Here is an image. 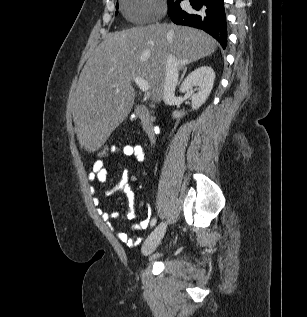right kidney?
<instances>
[{
	"mask_svg": "<svg viewBox=\"0 0 307 317\" xmlns=\"http://www.w3.org/2000/svg\"><path fill=\"white\" fill-rule=\"evenodd\" d=\"M215 80L214 70L210 66H201L192 71L184 80L180 87L181 93H192L194 87H198V92L192 94V110L201 107L211 93ZM185 112L174 111L173 118L179 119Z\"/></svg>",
	"mask_w": 307,
	"mask_h": 317,
	"instance_id": "1",
	"label": "right kidney"
}]
</instances>
